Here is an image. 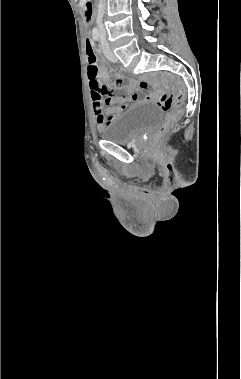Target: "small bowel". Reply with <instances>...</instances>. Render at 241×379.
Returning a JSON list of instances; mask_svg holds the SVG:
<instances>
[{
  "label": "small bowel",
  "instance_id": "1",
  "mask_svg": "<svg viewBox=\"0 0 241 379\" xmlns=\"http://www.w3.org/2000/svg\"><path fill=\"white\" fill-rule=\"evenodd\" d=\"M91 44L92 41L88 39ZM93 45V44H92ZM103 83L109 82V77L104 69H100L97 75ZM98 82V80H97ZM110 91L109 94H98L95 89H91L92 105L94 110L95 122L98 129H102L107 125L117 114L128 107V102L133 101H155L156 95L148 94L140 97V92L148 88V83L145 80L130 81L128 86L117 89H109L106 84H100Z\"/></svg>",
  "mask_w": 241,
  "mask_h": 379
}]
</instances>
